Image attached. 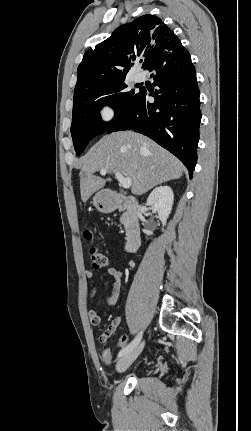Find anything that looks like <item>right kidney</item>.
Masks as SVG:
<instances>
[{
    "mask_svg": "<svg viewBox=\"0 0 251 431\" xmlns=\"http://www.w3.org/2000/svg\"><path fill=\"white\" fill-rule=\"evenodd\" d=\"M173 201L174 194L169 186L155 188L147 199V205L151 207L152 212L158 213V218L161 220L163 226L166 225L171 213Z\"/></svg>",
    "mask_w": 251,
    "mask_h": 431,
    "instance_id": "right-kidney-1",
    "label": "right kidney"
}]
</instances>
